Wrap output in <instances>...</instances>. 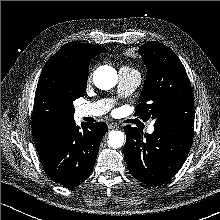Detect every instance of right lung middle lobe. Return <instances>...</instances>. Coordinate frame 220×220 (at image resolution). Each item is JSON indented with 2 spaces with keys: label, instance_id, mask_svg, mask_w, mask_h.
<instances>
[{
  "label": "right lung middle lobe",
  "instance_id": "obj_1",
  "mask_svg": "<svg viewBox=\"0 0 220 220\" xmlns=\"http://www.w3.org/2000/svg\"><path fill=\"white\" fill-rule=\"evenodd\" d=\"M85 90H86V83L80 85L70 84L68 87V92L71 102L83 96L85 94Z\"/></svg>",
  "mask_w": 220,
  "mask_h": 220
}]
</instances>
